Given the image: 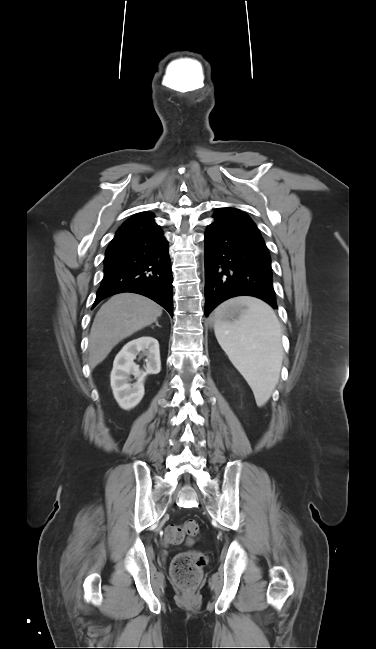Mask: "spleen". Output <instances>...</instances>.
<instances>
[{"instance_id": "3e777b00", "label": "spleen", "mask_w": 376, "mask_h": 649, "mask_svg": "<svg viewBox=\"0 0 376 649\" xmlns=\"http://www.w3.org/2000/svg\"><path fill=\"white\" fill-rule=\"evenodd\" d=\"M234 303L246 306V311L231 323L217 320L215 336L248 382L260 407L269 400L280 376L281 327L273 309L261 299L243 296L234 299ZM223 307L216 310V316Z\"/></svg>"}]
</instances>
